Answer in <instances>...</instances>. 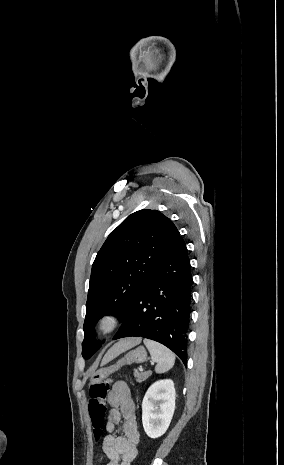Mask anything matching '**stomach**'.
<instances>
[{"label":"stomach","mask_w":284,"mask_h":465,"mask_svg":"<svg viewBox=\"0 0 284 465\" xmlns=\"http://www.w3.org/2000/svg\"><path fill=\"white\" fill-rule=\"evenodd\" d=\"M147 359L146 349L144 347H137L134 351L127 353L123 359H119L112 367H106V369H99L91 377V383H101L104 379H107L111 373H115L118 369H121L123 365H132V363H145Z\"/></svg>","instance_id":"0dacf381"}]
</instances>
